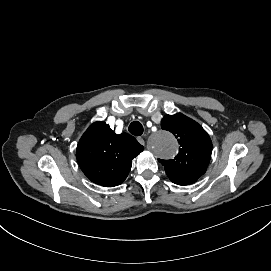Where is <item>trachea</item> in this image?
<instances>
[{
  "label": "trachea",
  "mask_w": 271,
  "mask_h": 271,
  "mask_svg": "<svg viewBox=\"0 0 271 271\" xmlns=\"http://www.w3.org/2000/svg\"><path fill=\"white\" fill-rule=\"evenodd\" d=\"M129 132L135 136H140L143 134V126L140 122L134 121L129 125Z\"/></svg>",
  "instance_id": "3493384b"
}]
</instances>
